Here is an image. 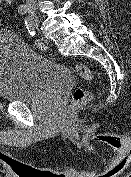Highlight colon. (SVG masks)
Instances as JSON below:
<instances>
[{"label": "colon", "instance_id": "5ec220e1", "mask_svg": "<svg viewBox=\"0 0 131 177\" xmlns=\"http://www.w3.org/2000/svg\"><path fill=\"white\" fill-rule=\"evenodd\" d=\"M14 3L15 0H0V9L5 11L10 10ZM73 70L88 82L94 80V75L91 69L83 64H74ZM90 98L91 92L89 90L80 87L74 89L71 96V108L87 103Z\"/></svg>", "mask_w": 131, "mask_h": 177}]
</instances>
